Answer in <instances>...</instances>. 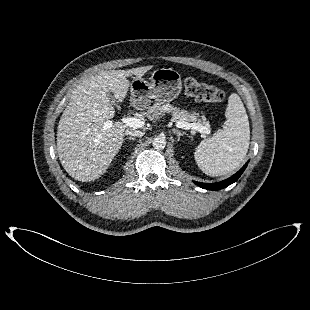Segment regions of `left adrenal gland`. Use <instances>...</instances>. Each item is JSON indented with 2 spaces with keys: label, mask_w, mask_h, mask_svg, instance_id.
I'll return each instance as SVG.
<instances>
[{
  "label": "left adrenal gland",
  "mask_w": 310,
  "mask_h": 310,
  "mask_svg": "<svg viewBox=\"0 0 310 310\" xmlns=\"http://www.w3.org/2000/svg\"><path fill=\"white\" fill-rule=\"evenodd\" d=\"M173 132L175 134H177L178 140L180 139V136H182V135H187L188 136V134H186V132H182V131L177 130V129H173Z\"/></svg>",
  "instance_id": "1"
}]
</instances>
